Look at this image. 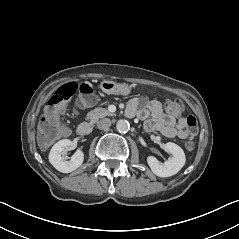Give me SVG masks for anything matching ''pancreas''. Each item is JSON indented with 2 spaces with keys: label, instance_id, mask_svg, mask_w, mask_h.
Segmentation results:
<instances>
[{
  "label": "pancreas",
  "instance_id": "pancreas-1",
  "mask_svg": "<svg viewBox=\"0 0 239 239\" xmlns=\"http://www.w3.org/2000/svg\"><path fill=\"white\" fill-rule=\"evenodd\" d=\"M113 114L110 113L105 108H95L92 111L87 113V120L90 124L96 123L99 119L106 117V116H112Z\"/></svg>",
  "mask_w": 239,
  "mask_h": 239
}]
</instances>
